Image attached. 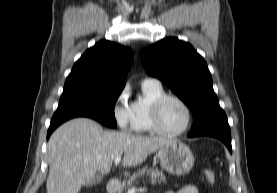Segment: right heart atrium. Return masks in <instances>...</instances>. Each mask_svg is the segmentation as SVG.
Returning a JSON list of instances; mask_svg holds the SVG:
<instances>
[{
  "instance_id": "obj_1",
  "label": "right heart atrium",
  "mask_w": 277,
  "mask_h": 193,
  "mask_svg": "<svg viewBox=\"0 0 277 193\" xmlns=\"http://www.w3.org/2000/svg\"><path fill=\"white\" fill-rule=\"evenodd\" d=\"M112 115L120 129L128 130L131 128L132 114L126 89L121 90L116 96L112 105Z\"/></svg>"
}]
</instances>
